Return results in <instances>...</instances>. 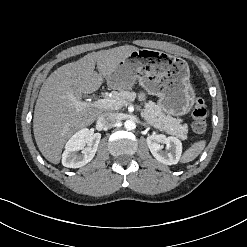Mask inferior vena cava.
I'll use <instances>...</instances> for the list:
<instances>
[{"instance_id":"602c4592","label":"inferior vena cava","mask_w":247,"mask_h":247,"mask_svg":"<svg viewBox=\"0 0 247 247\" xmlns=\"http://www.w3.org/2000/svg\"><path fill=\"white\" fill-rule=\"evenodd\" d=\"M118 121V116L115 113H103L98 117L97 123L102 126H110Z\"/></svg>"}]
</instances>
